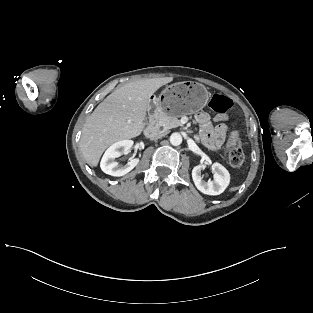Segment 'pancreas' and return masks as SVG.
<instances>
[{
  "label": "pancreas",
  "mask_w": 313,
  "mask_h": 313,
  "mask_svg": "<svg viewBox=\"0 0 313 313\" xmlns=\"http://www.w3.org/2000/svg\"><path fill=\"white\" fill-rule=\"evenodd\" d=\"M156 122L159 126L163 127L164 130L181 126L180 120L176 116L167 115L160 111L156 113Z\"/></svg>",
  "instance_id": "obj_1"
}]
</instances>
